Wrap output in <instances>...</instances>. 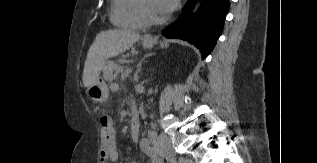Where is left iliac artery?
Wrapping results in <instances>:
<instances>
[{
  "label": "left iliac artery",
  "mask_w": 317,
  "mask_h": 163,
  "mask_svg": "<svg viewBox=\"0 0 317 163\" xmlns=\"http://www.w3.org/2000/svg\"><path fill=\"white\" fill-rule=\"evenodd\" d=\"M168 159L171 163H176V159H172L170 156L168 157Z\"/></svg>",
  "instance_id": "obj_1"
}]
</instances>
